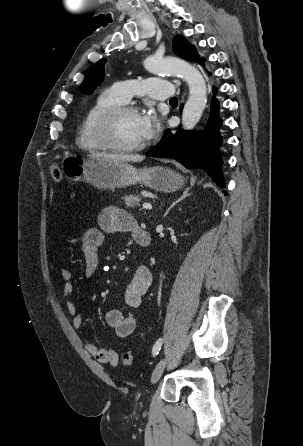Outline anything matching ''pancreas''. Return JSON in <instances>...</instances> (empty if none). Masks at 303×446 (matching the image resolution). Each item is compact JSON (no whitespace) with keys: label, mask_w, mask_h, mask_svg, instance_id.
<instances>
[{"label":"pancreas","mask_w":303,"mask_h":446,"mask_svg":"<svg viewBox=\"0 0 303 446\" xmlns=\"http://www.w3.org/2000/svg\"><path fill=\"white\" fill-rule=\"evenodd\" d=\"M123 199L125 204L132 208L139 206V203L141 201V197L139 195H125Z\"/></svg>","instance_id":"obj_1"}]
</instances>
